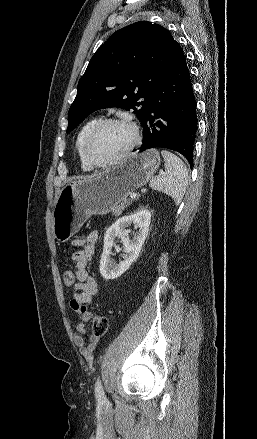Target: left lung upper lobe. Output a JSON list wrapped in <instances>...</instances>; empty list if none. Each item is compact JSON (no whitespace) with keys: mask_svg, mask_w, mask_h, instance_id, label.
<instances>
[{"mask_svg":"<svg viewBox=\"0 0 257 439\" xmlns=\"http://www.w3.org/2000/svg\"><path fill=\"white\" fill-rule=\"evenodd\" d=\"M178 45L168 30L148 21L116 31L99 47L79 80L66 132L95 110L109 107L132 109L142 122Z\"/></svg>","mask_w":257,"mask_h":439,"instance_id":"5c2ea615","label":"left lung upper lobe"}]
</instances>
